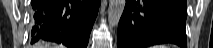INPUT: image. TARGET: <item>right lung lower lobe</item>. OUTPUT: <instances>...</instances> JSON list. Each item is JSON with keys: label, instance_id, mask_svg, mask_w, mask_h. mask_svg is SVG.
Returning <instances> with one entry per match:
<instances>
[{"label": "right lung lower lobe", "instance_id": "right-lung-lower-lobe-1", "mask_svg": "<svg viewBox=\"0 0 213 48\" xmlns=\"http://www.w3.org/2000/svg\"><path fill=\"white\" fill-rule=\"evenodd\" d=\"M100 0H32V44L43 39L86 48Z\"/></svg>", "mask_w": 213, "mask_h": 48}]
</instances>
